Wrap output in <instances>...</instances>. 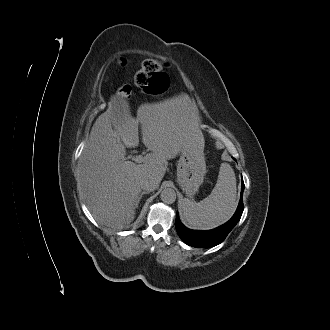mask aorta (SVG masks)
<instances>
[{
  "mask_svg": "<svg viewBox=\"0 0 330 330\" xmlns=\"http://www.w3.org/2000/svg\"><path fill=\"white\" fill-rule=\"evenodd\" d=\"M161 200L166 204H172L176 200V192L172 188H165L160 195Z\"/></svg>",
  "mask_w": 330,
  "mask_h": 330,
  "instance_id": "1",
  "label": "aorta"
}]
</instances>
